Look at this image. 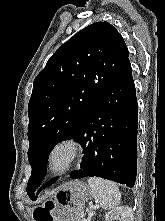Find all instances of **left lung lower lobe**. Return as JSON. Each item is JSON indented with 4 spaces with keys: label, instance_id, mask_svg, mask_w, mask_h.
<instances>
[{
    "label": "left lung lower lobe",
    "instance_id": "1",
    "mask_svg": "<svg viewBox=\"0 0 165 221\" xmlns=\"http://www.w3.org/2000/svg\"><path fill=\"white\" fill-rule=\"evenodd\" d=\"M137 123L136 90L128 60L73 136L85 154L80 168L70 177H101L132 188L137 171Z\"/></svg>",
    "mask_w": 165,
    "mask_h": 221
}]
</instances>
